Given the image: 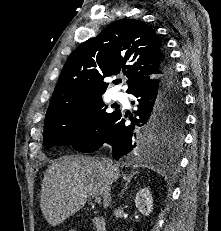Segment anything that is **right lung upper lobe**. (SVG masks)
Here are the masks:
<instances>
[{
  "mask_svg": "<svg viewBox=\"0 0 221 231\" xmlns=\"http://www.w3.org/2000/svg\"><path fill=\"white\" fill-rule=\"evenodd\" d=\"M163 52L157 35L146 23L133 19L112 23L69 56L46 118L73 99L103 95L108 87L105 77L126 74L128 93L152 84L162 75Z\"/></svg>",
  "mask_w": 221,
  "mask_h": 231,
  "instance_id": "obj_1",
  "label": "right lung upper lobe"
}]
</instances>
